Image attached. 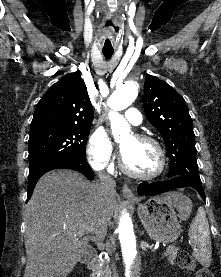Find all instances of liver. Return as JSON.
<instances>
[{"label":"liver","instance_id":"1","mask_svg":"<svg viewBox=\"0 0 221 277\" xmlns=\"http://www.w3.org/2000/svg\"><path fill=\"white\" fill-rule=\"evenodd\" d=\"M99 188L71 170L50 171L40 178L24 213V277H67L86 254L88 241L105 237L117 193L104 200ZM163 198L178 206L185 197L168 193Z\"/></svg>","mask_w":221,"mask_h":277}]
</instances>
